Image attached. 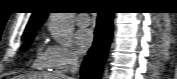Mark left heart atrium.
I'll list each match as a JSON object with an SVG mask.
<instances>
[{
	"label": "left heart atrium",
	"mask_w": 177,
	"mask_h": 79,
	"mask_svg": "<svg viewBox=\"0 0 177 79\" xmlns=\"http://www.w3.org/2000/svg\"><path fill=\"white\" fill-rule=\"evenodd\" d=\"M76 45L80 53H86L94 43V34L90 29H81L75 37Z\"/></svg>",
	"instance_id": "1"
}]
</instances>
